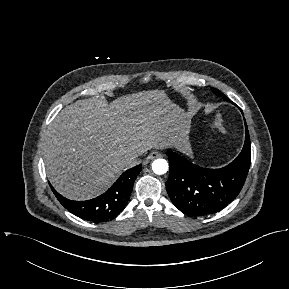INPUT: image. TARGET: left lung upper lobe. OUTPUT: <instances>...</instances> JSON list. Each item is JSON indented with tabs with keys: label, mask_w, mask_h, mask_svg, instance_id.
<instances>
[{
	"label": "left lung upper lobe",
	"mask_w": 289,
	"mask_h": 289,
	"mask_svg": "<svg viewBox=\"0 0 289 289\" xmlns=\"http://www.w3.org/2000/svg\"><path fill=\"white\" fill-rule=\"evenodd\" d=\"M212 91H213L215 94H218V95H221V96H222V94H221V92H220L219 90H217V89H215V88H212ZM224 99H226L227 101H229V99H227V98H224Z\"/></svg>",
	"instance_id": "1"
}]
</instances>
